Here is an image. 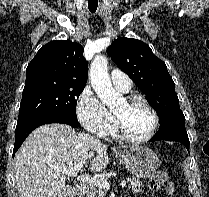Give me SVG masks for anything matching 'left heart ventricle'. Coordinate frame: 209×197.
Here are the masks:
<instances>
[{
	"label": "left heart ventricle",
	"mask_w": 209,
	"mask_h": 197,
	"mask_svg": "<svg viewBox=\"0 0 209 197\" xmlns=\"http://www.w3.org/2000/svg\"><path fill=\"white\" fill-rule=\"evenodd\" d=\"M126 133L132 137L145 136L153 123L150 111L140 102L128 104L123 100L114 110Z\"/></svg>",
	"instance_id": "1"
}]
</instances>
